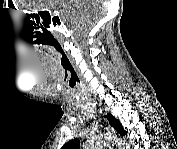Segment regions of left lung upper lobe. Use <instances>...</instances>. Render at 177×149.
Wrapping results in <instances>:
<instances>
[{"label":"left lung upper lobe","mask_w":177,"mask_h":149,"mask_svg":"<svg viewBox=\"0 0 177 149\" xmlns=\"http://www.w3.org/2000/svg\"><path fill=\"white\" fill-rule=\"evenodd\" d=\"M107 118L109 120V123L115 128V130L117 132H119L122 135H126L127 134V132L124 131L121 123L119 122V120H117L111 114H108ZM79 144H80L79 139H74V140H71V141L67 142L65 145H63L62 148L63 149H79Z\"/></svg>","instance_id":"1"}]
</instances>
